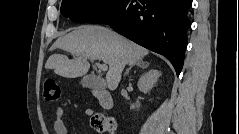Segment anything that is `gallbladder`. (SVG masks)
<instances>
[{
	"mask_svg": "<svg viewBox=\"0 0 239 134\" xmlns=\"http://www.w3.org/2000/svg\"><path fill=\"white\" fill-rule=\"evenodd\" d=\"M81 84L84 87H89V88H96V89L103 88V82L99 78L92 75L84 76L81 80Z\"/></svg>",
	"mask_w": 239,
	"mask_h": 134,
	"instance_id": "1",
	"label": "gallbladder"
}]
</instances>
